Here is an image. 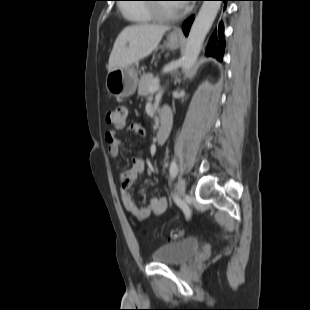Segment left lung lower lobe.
<instances>
[{"mask_svg": "<svg viewBox=\"0 0 310 310\" xmlns=\"http://www.w3.org/2000/svg\"><path fill=\"white\" fill-rule=\"evenodd\" d=\"M224 1L225 3L230 0H221ZM193 16L188 18L184 24H183V32L187 36L191 27V24L193 22ZM222 32H223V25L220 23L219 26V39H218V34H217V29L213 32L209 44L206 50V55H212L216 57L219 61H222L223 58V50H224V38H222Z\"/></svg>", "mask_w": 310, "mask_h": 310, "instance_id": "1", "label": "left lung lower lobe"}]
</instances>
